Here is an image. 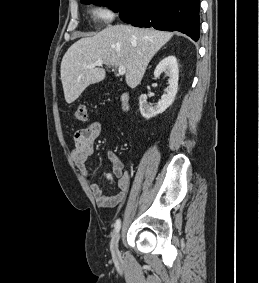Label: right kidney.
<instances>
[{
  "label": "right kidney",
  "instance_id": "ca27d5eb",
  "mask_svg": "<svg viewBox=\"0 0 259 283\" xmlns=\"http://www.w3.org/2000/svg\"><path fill=\"white\" fill-rule=\"evenodd\" d=\"M163 72L169 76V86L165 89L166 93L162 96L161 100L152 107L148 105L147 96L145 94H142L139 97L140 113L146 119H150L163 113L170 105H172L177 94L179 70L175 56H168L159 62L154 71L155 78H159Z\"/></svg>",
  "mask_w": 259,
  "mask_h": 283
}]
</instances>
